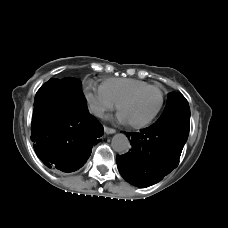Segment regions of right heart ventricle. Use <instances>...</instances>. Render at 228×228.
<instances>
[{"label":"right heart ventricle","mask_w":228,"mask_h":228,"mask_svg":"<svg viewBox=\"0 0 228 228\" xmlns=\"http://www.w3.org/2000/svg\"><path fill=\"white\" fill-rule=\"evenodd\" d=\"M149 86L151 85L137 79L109 78L102 83L101 89L117 105L128 94Z\"/></svg>","instance_id":"1"}]
</instances>
